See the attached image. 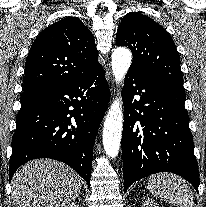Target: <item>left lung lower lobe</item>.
<instances>
[{"label":"left lung lower lobe","instance_id":"left-lung-lower-lobe-1","mask_svg":"<svg viewBox=\"0 0 206 207\" xmlns=\"http://www.w3.org/2000/svg\"><path fill=\"white\" fill-rule=\"evenodd\" d=\"M124 192L154 173L200 183L183 87L128 72L122 90Z\"/></svg>","mask_w":206,"mask_h":207}]
</instances>
